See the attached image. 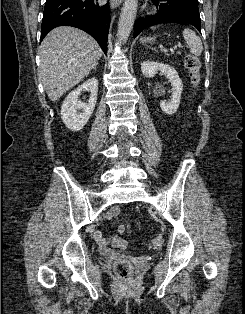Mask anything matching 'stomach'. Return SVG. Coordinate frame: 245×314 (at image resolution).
<instances>
[{
	"label": "stomach",
	"mask_w": 245,
	"mask_h": 314,
	"mask_svg": "<svg viewBox=\"0 0 245 314\" xmlns=\"http://www.w3.org/2000/svg\"><path fill=\"white\" fill-rule=\"evenodd\" d=\"M154 41V38H151V37H143L141 38V42L142 43H147V42H152Z\"/></svg>",
	"instance_id": "0dacf381"
}]
</instances>
